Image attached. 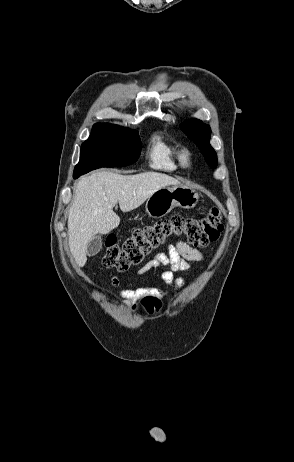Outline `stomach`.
I'll return each mask as SVG.
<instances>
[{
  "label": "stomach",
  "instance_id": "stomach-1",
  "mask_svg": "<svg viewBox=\"0 0 294 462\" xmlns=\"http://www.w3.org/2000/svg\"><path fill=\"white\" fill-rule=\"evenodd\" d=\"M199 194L193 188L184 185H170L155 191L146 201L145 209L152 218L167 215L174 207L193 208Z\"/></svg>",
  "mask_w": 294,
  "mask_h": 462
}]
</instances>
